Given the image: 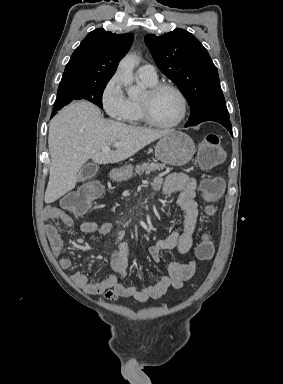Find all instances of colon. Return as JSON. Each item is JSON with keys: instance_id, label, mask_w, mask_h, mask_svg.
<instances>
[{"instance_id": "obj_1", "label": "colon", "mask_w": 283, "mask_h": 384, "mask_svg": "<svg viewBox=\"0 0 283 384\" xmlns=\"http://www.w3.org/2000/svg\"><path fill=\"white\" fill-rule=\"evenodd\" d=\"M224 158L220 138L215 133L205 135L199 145V162L204 168H211L219 164ZM104 185L100 181H91L78 190L70 193L62 200V207L75 214H83L91 207L103 193ZM225 183L221 177H208L201 181L200 192L207 202L206 212L214 213L213 204L223 195ZM214 254V245L208 236H205L197 246L196 255L200 260H209Z\"/></svg>"}]
</instances>
